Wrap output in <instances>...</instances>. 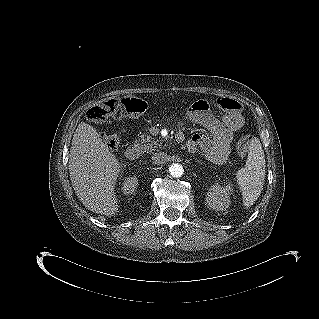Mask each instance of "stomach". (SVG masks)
<instances>
[{
	"label": "stomach",
	"instance_id": "1",
	"mask_svg": "<svg viewBox=\"0 0 319 319\" xmlns=\"http://www.w3.org/2000/svg\"><path fill=\"white\" fill-rule=\"evenodd\" d=\"M203 110L205 109H203L199 103L193 102L187 110V116L190 120L196 121L201 118L202 114L205 112Z\"/></svg>",
	"mask_w": 319,
	"mask_h": 319
}]
</instances>
